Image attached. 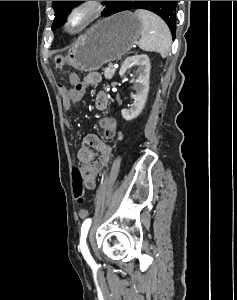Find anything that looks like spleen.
Masks as SVG:
<instances>
[{"label": "spleen", "mask_w": 237, "mask_h": 300, "mask_svg": "<svg viewBox=\"0 0 237 300\" xmlns=\"http://www.w3.org/2000/svg\"><path fill=\"white\" fill-rule=\"evenodd\" d=\"M142 21L141 39H139V47L142 51H156L160 53L162 59L168 57L171 47V33L164 21L150 13L137 9L134 13Z\"/></svg>", "instance_id": "3e777b00"}]
</instances>
